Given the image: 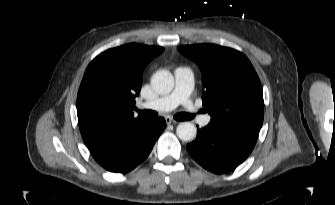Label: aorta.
I'll return each instance as SVG.
<instances>
[{
    "label": "aorta",
    "instance_id": "obj_1",
    "mask_svg": "<svg viewBox=\"0 0 335 205\" xmlns=\"http://www.w3.org/2000/svg\"><path fill=\"white\" fill-rule=\"evenodd\" d=\"M153 89L159 94H168L174 87V77L167 70L157 71L151 78ZM177 136L182 141H192L195 139L197 129L191 122H182L176 128Z\"/></svg>",
    "mask_w": 335,
    "mask_h": 205
}]
</instances>
